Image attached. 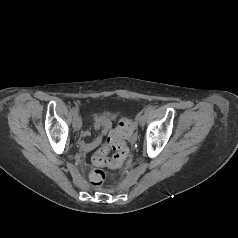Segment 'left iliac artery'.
Masks as SVG:
<instances>
[{
	"instance_id": "44dca946",
	"label": "left iliac artery",
	"mask_w": 238,
	"mask_h": 238,
	"mask_svg": "<svg viewBox=\"0 0 238 238\" xmlns=\"http://www.w3.org/2000/svg\"><path fill=\"white\" fill-rule=\"evenodd\" d=\"M154 107L153 106H149L147 109H146V111H145V113L146 114H150V113H152L153 111H154Z\"/></svg>"
}]
</instances>
